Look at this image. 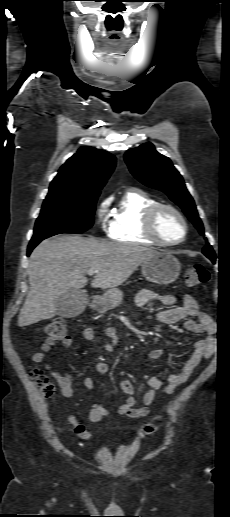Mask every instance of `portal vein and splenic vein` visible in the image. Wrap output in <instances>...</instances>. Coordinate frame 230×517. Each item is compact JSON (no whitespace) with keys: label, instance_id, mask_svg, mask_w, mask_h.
I'll use <instances>...</instances> for the list:
<instances>
[{"label":"portal vein and splenic vein","instance_id":"portal-vein-and-splenic-vein-1","mask_svg":"<svg viewBox=\"0 0 230 517\" xmlns=\"http://www.w3.org/2000/svg\"><path fill=\"white\" fill-rule=\"evenodd\" d=\"M87 273H88V275H93V274L97 273V270L89 269L87 271Z\"/></svg>","mask_w":230,"mask_h":517}]
</instances>
